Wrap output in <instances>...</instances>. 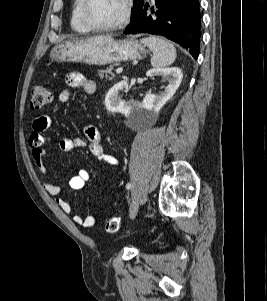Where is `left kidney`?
<instances>
[{
  "label": "left kidney",
  "mask_w": 267,
  "mask_h": 301,
  "mask_svg": "<svg viewBox=\"0 0 267 301\" xmlns=\"http://www.w3.org/2000/svg\"><path fill=\"white\" fill-rule=\"evenodd\" d=\"M147 77L162 76L168 80L169 84L165 87V91L159 95L147 94L143 101L139 104L140 107L152 111L160 110L175 94L179 88L183 74L178 67L170 68H154L146 73ZM124 89H128L127 81H120L115 84L106 94L105 106L110 112L127 113L130 112L133 107V100L125 101L121 99L120 92Z\"/></svg>",
  "instance_id": "left-kidney-1"
}]
</instances>
